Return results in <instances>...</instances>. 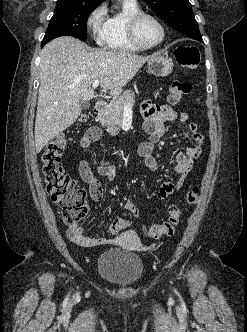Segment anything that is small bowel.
I'll return each mask as SVG.
<instances>
[{"label": "small bowel", "mask_w": 247, "mask_h": 332, "mask_svg": "<svg viewBox=\"0 0 247 332\" xmlns=\"http://www.w3.org/2000/svg\"><path fill=\"white\" fill-rule=\"evenodd\" d=\"M142 127L148 135V140L142 142L139 146L138 152L143 159L145 165L152 171H156L158 163L153 155L155 144L169 131V122L179 121L180 124H185L189 120V115L186 112L178 113L170 105H158L146 100L142 104ZM188 130L191 133L192 139L195 142L194 146L188 147L184 152L176 154L175 172L178 174L176 182H165L159 188L156 197L158 199H166L175 191L183 188L186 178L192 169L193 162L202 152L201 145L204 142L203 135L198 132L196 123L190 122L187 124ZM101 130L97 127H92L87 130L81 139V146L86 150L92 143L101 138ZM96 172L106 177L109 181H113L116 177V169L110 161H100ZM79 175L81 179L88 185L89 193L94 201H100L103 197L102 186L97 179L95 173L86 161H81L79 164ZM125 209L137 217L140 214L139 206L133 200L125 202ZM67 235L74 243L84 247H95L100 245L110 244L111 239L103 237H92L84 234L83 228L78 224H72L67 227Z\"/></svg>", "instance_id": "c3829d8e"}]
</instances>
